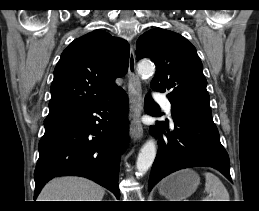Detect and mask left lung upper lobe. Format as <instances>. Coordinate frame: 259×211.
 Returning a JSON list of instances; mask_svg holds the SVG:
<instances>
[{
  "label": "left lung upper lobe",
  "instance_id": "obj_1",
  "mask_svg": "<svg viewBox=\"0 0 259 211\" xmlns=\"http://www.w3.org/2000/svg\"><path fill=\"white\" fill-rule=\"evenodd\" d=\"M136 56L154 61L153 90L167 93L169 101L177 106L211 113L203 65L187 39L169 30L151 29L139 37Z\"/></svg>",
  "mask_w": 259,
  "mask_h": 211
}]
</instances>
